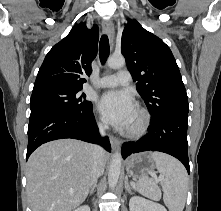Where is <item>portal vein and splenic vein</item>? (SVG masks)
I'll list each match as a JSON object with an SVG mask.
<instances>
[{"instance_id": "1", "label": "portal vein and splenic vein", "mask_w": 221, "mask_h": 211, "mask_svg": "<svg viewBox=\"0 0 221 211\" xmlns=\"http://www.w3.org/2000/svg\"><path fill=\"white\" fill-rule=\"evenodd\" d=\"M160 179H161V177L158 178V180H160ZM131 185H132L133 187H135V183H134V182H131Z\"/></svg>"}]
</instances>
